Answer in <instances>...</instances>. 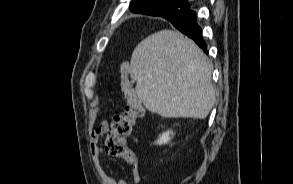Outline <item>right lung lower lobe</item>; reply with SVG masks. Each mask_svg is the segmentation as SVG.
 Wrapping results in <instances>:
<instances>
[{"instance_id": "98d812e1", "label": "right lung lower lobe", "mask_w": 293, "mask_h": 184, "mask_svg": "<svg viewBox=\"0 0 293 184\" xmlns=\"http://www.w3.org/2000/svg\"><path fill=\"white\" fill-rule=\"evenodd\" d=\"M166 19L182 33L193 39L205 53H208L206 43L202 38V29L197 25L194 11L189 8L182 9Z\"/></svg>"}]
</instances>
